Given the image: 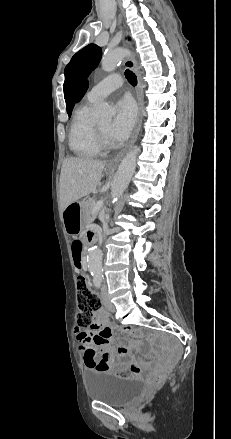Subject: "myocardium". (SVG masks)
Returning <instances> with one entry per match:
<instances>
[{"instance_id":"1","label":"myocardium","mask_w":231,"mask_h":439,"mask_svg":"<svg viewBox=\"0 0 231 439\" xmlns=\"http://www.w3.org/2000/svg\"><path fill=\"white\" fill-rule=\"evenodd\" d=\"M96 138L100 149L106 150L114 147V145L111 143L106 133L102 130V128L97 122H96Z\"/></svg>"}]
</instances>
